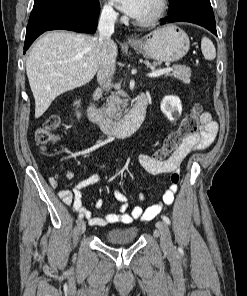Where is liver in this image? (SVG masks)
I'll use <instances>...</instances> for the list:
<instances>
[{"instance_id": "6515ba94", "label": "liver", "mask_w": 247, "mask_h": 296, "mask_svg": "<svg viewBox=\"0 0 247 296\" xmlns=\"http://www.w3.org/2000/svg\"><path fill=\"white\" fill-rule=\"evenodd\" d=\"M116 58L118 48L112 43ZM99 39L67 31H51L33 45L26 72L35 99V118L41 117L52 101L66 91L90 82L99 69Z\"/></svg>"}]
</instances>
